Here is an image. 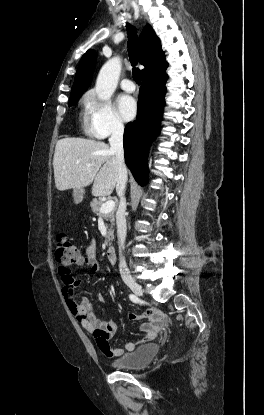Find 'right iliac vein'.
Segmentation results:
<instances>
[{"mask_svg": "<svg viewBox=\"0 0 264 415\" xmlns=\"http://www.w3.org/2000/svg\"><path fill=\"white\" fill-rule=\"evenodd\" d=\"M128 287L139 297L143 296L142 287L133 280L127 282Z\"/></svg>", "mask_w": 264, "mask_h": 415, "instance_id": "right-iliac-vein-1", "label": "right iliac vein"}]
</instances>
